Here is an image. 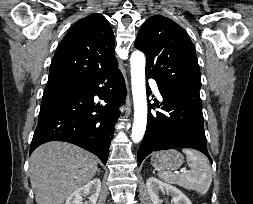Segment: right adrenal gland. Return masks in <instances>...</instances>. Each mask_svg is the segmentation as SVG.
<instances>
[{"instance_id": "1", "label": "right adrenal gland", "mask_w": 253, "mask_h": 204, "mask_svg": "<svg viewBox=\"0 0 253 204\" xmlns=\"http://www.w3.org/2000/svg\"><path fill=\"white\" fill-rule=\"evenodd\" d=\"M98 173H100V169H98Z\"/></svg>"}]
</instances>
